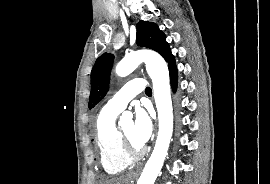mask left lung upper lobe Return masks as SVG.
<instances>
[{
    "mask_svg": "<svg viewBox=\"0 0 270 184\" xmlns=\"http://www.w3.org/2000/svg\"><path fill=\"white\" fill-rule=\"evenodd\" d=\"M137 44L158 52L166 61L172 56L165 34L155 23L142 20L137 23ZM113 60L114 56L109 53H104L96 60L91 71L89 108L106 95Z\"/></svg>",
    "mask_w": 270,
    "mask_h": 184,
    "instance_id": "left-lung-upper-lobe-1",
    "label": "left lung upper lobe"
}]
</instances>
